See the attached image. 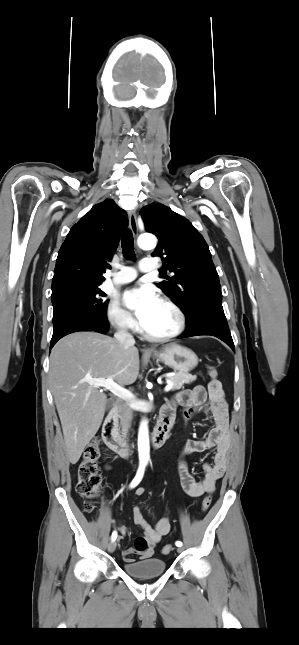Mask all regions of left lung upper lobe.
Here are the masks:
<instances>
[{
    "mask_svg": "<svg viewBox=\"0 0 299 645\" xmlns=\"http://www.w3.org/2000/svg\"><path fill=\"white\" fill-rule=\"evenodd\" d=\"M140 215L145 230L159 239L152 256L161 257L163 273L168 270L175 274L157 286L174 298L186 316L187 327L199 328L205 305L215 298L222 299L207 243L187 219L163 204L147 205Z\"/></svg>",
    "mask_w": 299,
    "mask_h": 645,
    "instance_id": "left-lung-upper-lobe-1",
    "label": "left lung upper lobe"
}]
</instances>
